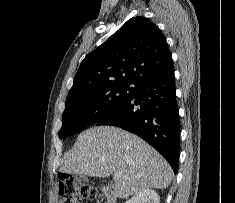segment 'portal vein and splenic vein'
<instances>
[{
	"label": "portal vein and splenic vein",
	"instance_id": "18ae733b",
	"mask_svg": "<svg viewBox=\"0 0 235 203\" xmlns=\"http://www.w3.org/2000/svg\"><path fill=\"white\" fill-rule=\"evenodd\" d=\"M122 176V174L120 173V172H115L114 173V177L115 178H119V177H121Z\"/></svg>",
	"mask_w": 235,
	"mask_h": 203
}]
</instances>
